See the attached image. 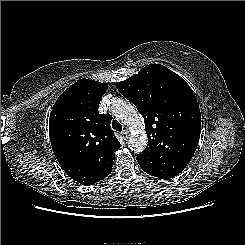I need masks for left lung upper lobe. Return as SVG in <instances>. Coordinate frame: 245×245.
<instances>
[{"instance_id":"5c2ea615","label":"left lung upper lobe","mask_w":245,"mask_h":245,"mask_svg":"<svg viewBox=\"0 0 245 245\" xmlns=\"http://www.w3.org/2000/svg\"><path fill=\"white\" fill-rule=\"evenodd\" d=\"M116 87L144 118L148 144L136 157L141 168L164 179L181 173L201 133V113L190 86L165 66L150 64Z\"/></svg>"}]
</instances>
